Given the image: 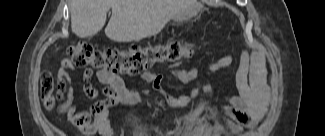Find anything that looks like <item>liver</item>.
<instances>
[{
  "label": "liver",
  "mask_w": 325,
  "mask_h": 136,
  "mask_svg": "<svg viewBox=\"0 0 325 136\" xmlns=\"http://www.w3.org/2000/svg\"><path fill=\"white\" fill-rule=\"evenodd\" d=\"M195 0H71V30L80 38L97 34L112 15L105 34L115 42L139 41L158 34L177 15L185 21L198 12Z\"/></svg>",
  "instance_id": "1"
}]
</instances>
